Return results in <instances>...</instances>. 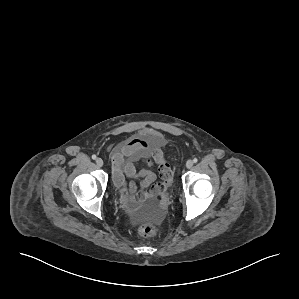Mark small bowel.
Listing matches in <instances>:
<instances>
[{
	"mask_svg": "<svg viewBox=\"0 0 299 299\" xmlns=\"http://www.w3.org/2000/svg\"><path fill=\"white\" fill-rule=\"evenodd\" d=\"M156 135L150 130L142 131L112 148V178L120 189L123 201L129 210H135L146 200L162 195L171 181V168L164 158L163 152L150 148L148 140ZM138 163L157 166L161 180L148 169H137ZM130 179H140L138 186Z\"/></svg>",
	"mask_w": 299,
	"mask_h": 299,
	"instance_id": "1",
	"label": "small bowel"
}]
</instances>
